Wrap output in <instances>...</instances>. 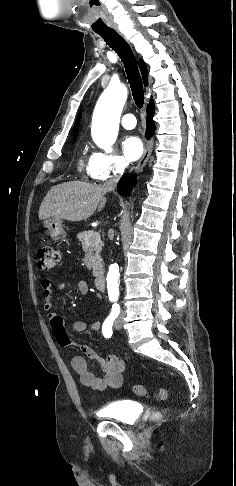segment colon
Listing matches in <instances>:
<instances>
[{
    "mask_svg": "<svg viewBox=\"0 0 236 486\" xmlns=\"http://www.w3.org/2000/svg\"><path fill=\"white\" fill-rule=\"evenodd\" d=\"M59 262V253L58 251L51 247L45 246L39 250L38 253V266L42 270H50L54 268ZM134 393L140 397H148L149 391L143 385H136L134 387ZM170 396V391L168 389H159L155 393V398L158 400H166ZM154 419L160 418V414L158 412L153 414Z\"/></svg>",
    "mask_w": 236,
    "mask_h": 486,
    "instance_id": "obj_1",
    "label": "colon"
}]
</instances>
